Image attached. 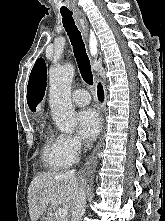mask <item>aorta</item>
Wrapping results in <instances>:
<instances>
[{"instance_id": "762f6f07", "label": "aorta", "mask_w": 165, "mask_h": 221, "mask_svg": "<svg viewBox=\"0 0 165 221\" xmlns=\"http://www.w3.org/2000/svg\"><path fill=\"white\" fill-rule=\"evenodd\" d=\"M74 67L65 64L50 74L49 102L52 118L57 128L64 133H73L76 126L75 110L71 102V84Z\"/></svg>"}]
</instances>
